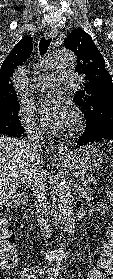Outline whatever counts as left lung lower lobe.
Instances as JSON below:
<instances>
[{
  "instance_id": "obj_1",
  "label": "left lung lower lobe",
  "mask_w": 113,
  "mask_h": 279,
  "mask_svg": "<svg viewBox=\"0 0 113 279\" xmlns=\"http://www.w3.org/2000/svg\"><path fill=\"white\" fill-rule=\"evenodd\" d=\"M104 140H113V118L102 117L101 122L94 128L86 125L85 132L77 140V144L79 147Z\"/></svg>"
}]
</instances>
